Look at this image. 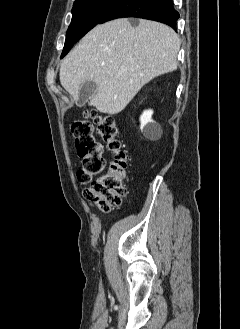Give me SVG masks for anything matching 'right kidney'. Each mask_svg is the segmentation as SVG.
Here are the masks:
<instances>
[{"label": "right kidney", "mask_w": 240, "mask_h": 329, "mask_svg": "<svg viewBox=\"0 0 240 329\" xmlns=\"http://www.w3.org/2000/svg\"><path fill=\"white\" fill-rule=\"evenodd\" d=\"M152 110H145L140 116V129L147 137L159 135L161 133V126L152 120Z\"/></svg>", "instance_id": "ca27d5eb"}]
</instances>
